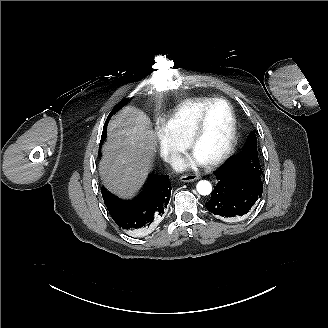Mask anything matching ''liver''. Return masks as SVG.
Masks as SVG:
<instances>
[{
    "label": "liver",
    "mask_w": 328,
    "mask_h": 328,
    "mask_svg": "<svg viewBox=\"0 0 328 328\" xmlns=\"http://www.w3.org/2000/svg\"><path fill=\"white\" fill-rule=\"evenodd\" d=\"M100 172L105 185L120 196L141 188L155 152L150 119L139 109L126 107L110 122Z\"/></svg>",
    "instance_id": "obj_1"
}]
</instances>
